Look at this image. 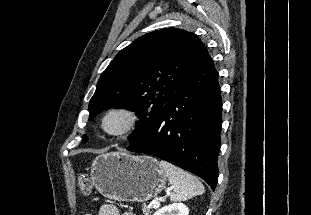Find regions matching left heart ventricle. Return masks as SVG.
Here are the masks:
<instances>
[{
  "label": "left heart ventricle",
  "mask_w": 311,
  "mask_h": 215,
  "mask_svg": "<svg viewBox=\"0 0 311 215\" xmlns=\"http://www.w3.org/2000/svg\"><path fill=\"white\" fill-rule=\"evenodd\" d=\"M124 124V118L119 115L111 116L106 121V127L109 130L119 129Z\"/></svg>",
  "instance_id": "b2bd125f"
}]
</instances>
